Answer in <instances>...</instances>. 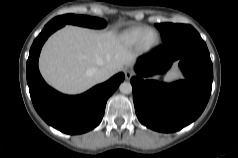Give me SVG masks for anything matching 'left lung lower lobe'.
Wrapping results in <instances>:
<instances>
[{
	"label": "left lung lower lobe",
	"mask_w": 238,
	"mask_h": 158,
	"mask_svg": "<svg viewBox=\"0 0 238 158\" xmlns=\"http://www.w3.org/2000/svg\"><path fill=\"white\" fill-rule=\"evenodd\" d=\"M175 60H180L185 80L167 84L143 79L167 71ZM136 72L131 79L135 111L148 128L165 133L178 131L195 121L207 105L213 67L207 46L195 29L139 57Z\"/></svg>",
	"instance_id": "1"
}]
</instances>
